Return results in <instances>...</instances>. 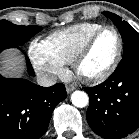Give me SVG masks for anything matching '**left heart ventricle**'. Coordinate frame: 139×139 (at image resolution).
I'll use <instances>...</instances> for the list:
<instances>
[{"label": "left heart ventricle", "instance_id": "obj_1", "mask_svg": "<svg viewBox=\"0 0 139 139\" xmlns=\"http://www.w3.org/2000/svg\"><path fill=\"white\" fill-rule=\"evenodd\" d=\"M117 50V38L112 31H105L94 42L80 65L86 76H95L105 71L111 64Z\"/></svg>", "mask_w": 139, "mask_h": 139}]
</instances>
